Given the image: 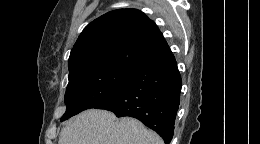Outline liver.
Listing matches in <instances>:
<instances>
[{
    "instance_id": "liver-1",
    "label": "liver",
    "mask_w": 260,
    "mask_h": 144,
    "mask_svg": "<svg viewBox=\"0 0 260 144\" xmlns=\"http://www.w3.org/2000/svg\"><path fill=\"white\" fill-rule=\"evenodd\" d=\"M58 144H163V140L134 118L117 119L112 112L89 109L67 122Z\"/></svg>"
}]
</instances>
